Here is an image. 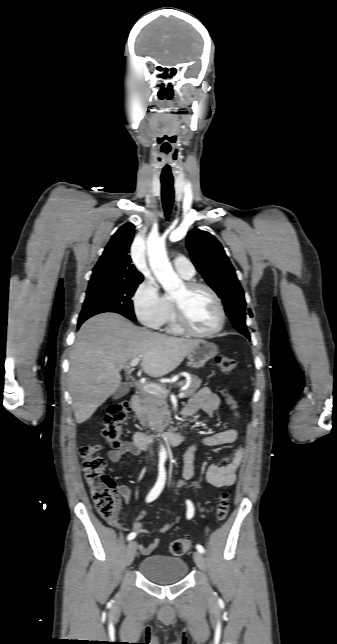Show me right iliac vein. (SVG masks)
<instances>
[{"instance_id":"1","label":"right iliac vein","mask_w":337,"mask_h":644,"mask_svg":"<svg viewBox=\"0 0 337 644\" xmlns=\"http://www.w3.org/2000/svg\"><path fill=\"white\" fill-rule=\"evenodd\" d=\"M137 551V542L131 541L127 545L126 549V555H125V564L126 566H130L135 558Z\"/></svg>"}]
</instances>
